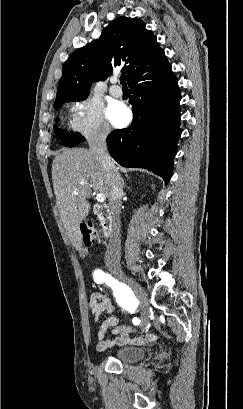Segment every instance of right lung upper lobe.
Listing matches in <instances>:
<instances>
[{
    "instance_id": "cb5924a9",
    "label": "right lung upper lobe",
    "mask_w": 243,
    "mask_h": 409,
    "mask_svg": "<svg viewBox=\"0 0 243 409\" xmlns=\"http://www.w3.org/2000/svg\"><path fill=\"white\" fill-rule=\"evenodd\" d=\"M121 66L129 86L170 66L156 36L137 18L119 17L98 40L70 55L63 65L56 103L87 97L94 81L104 80Z\"/></svg>"
}]
</instances>
